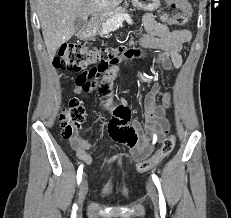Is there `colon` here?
Here are the masks:
<instances>
[{
    "mask_svg": "<svg viewBox=\"0 0 231 218\" xmlns=\"http://www.w3.org/2000/svg\"><path fill=\"white\" fill-rule=\"evenodd\" d=\"M172 9L179 12L174 15L173 23L177 25L186 24L192 13L187 0H165ZM119 54L126 56H142L143 52L136 49H127L125 46L89 48L80 44H64L60 47L54 59L57 68L81 71V69H92V66H99L104 60H116ZM86 120V110L77 97H72L67 105L63 107L59 115L61 135L64 139L72 140L78 133L79 128ZM175 137H167L161 147L150 157L139 161L136 169L145 172L153 169L158 163L166 158L173 150Z\"/></svg>",
    "mask_w": 231,
    "mask_h": 218,
    "instance_id": "obj_1",
    "label": "colon"
}]
</instances>
